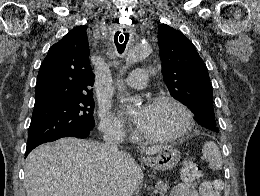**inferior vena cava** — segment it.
Here are the masks:
<instances>
[{
    "mask_svg": "<svg viewBox=\"0 0 260 196\" xmlns=\"http://www.w3.org/2000/svg\"><path fill=\"white\" fill-rule=\"evenodd\" d=\"M103 142V146L109 154H118V144H122L123 136L117 130H110V132H104ZM109 196H119V194L111 192Z\"/></svg>",
    "mask_w": 260,
    "mask_h": 196,
    "instance_id": "obj_1",
    "label": "inferior vena cava"
}]
</instances>
